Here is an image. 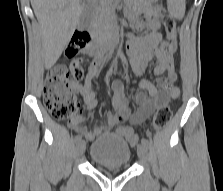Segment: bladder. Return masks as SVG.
<instances>
[{
  "label": "bladder",
  "mask_w": 223,
  "mask_h": 191,
  "mask_svg": "<svg viewBox=\"0 0 223 191\" xmlns=\"http://www.w3.org/2000/svg\"><path fill=\"white\" fill-rule=\"evenodd\" d=\"M90 158L100 166L126 167L130 164L132 151L124 138L108 134L91 144Z\"/></svg>",
  "instance_id": "31cf9c89"
}]
</instances>
